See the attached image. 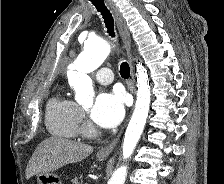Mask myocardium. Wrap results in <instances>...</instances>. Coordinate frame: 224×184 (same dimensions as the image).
Returning <instances> with one entry per match:
<instances>
[{"label":"myocardium","mask_w":224,"mask_h":184,"mask_svg":"<svg viewBox=\"0 0 224 184\" xmlns=\"http://www.w3.org/2000/svg\"><path fill=\"white\" fill-rule=\"evenodd\" d=\"M83 134L88 136V137H92V136H95L96 135V130L89 124H86L84 127H83Z\"/></svg>","instance_id":"f54148a6"}]
</instances>
